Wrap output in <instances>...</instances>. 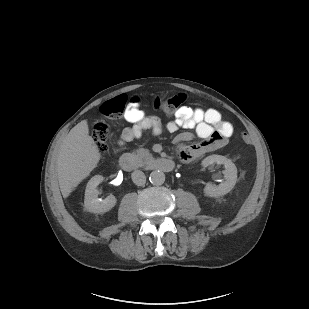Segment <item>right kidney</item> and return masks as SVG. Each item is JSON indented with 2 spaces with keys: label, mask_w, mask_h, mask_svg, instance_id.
I'll return each mask as SVG.
<instances>
[{
  "label": "right kidney",
  "mask_w": 309,
  "mask_h": 309,
  "mask_svg": "<svg viewBox=\"0 0 309 309\" xmlns=\"http://www.w3.org/2000/svg\"><path fill=\"white\" fill-rule=\"evenodd\" d=\"M103 179V176L95 175L87 183L84 206L89 212L105 213L116 205L117 199L112 194L104 200L98 198L99 192L96 188L103 181Z\"/></svg>",
  "instance_id": "right-kidney-1"
}]
</instances>
